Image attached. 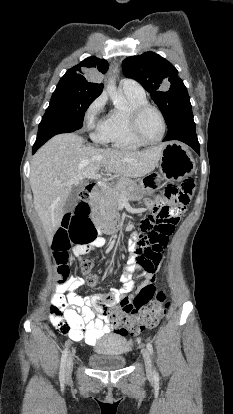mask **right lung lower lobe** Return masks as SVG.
<instances>
[{"mask_svg":"<svg viewBox=\"0 0 233 414\" xmlns=\"http://www.w3.org/2000/svg\"><path fill=\"white\" fill-rule=\"evenodd\" d=\"M83 124L53 114H45L39 124L38 136L33 153L47 140L60 133H69L82 128Z\"/></svg>","mask_w":233,"mask_h":414,"instance_id":"1","label":"right lung lower lobe"}]
</instances>
